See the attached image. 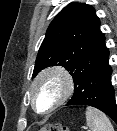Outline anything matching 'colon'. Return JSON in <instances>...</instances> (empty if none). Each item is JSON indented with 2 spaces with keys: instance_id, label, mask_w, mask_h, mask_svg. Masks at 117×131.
I'll use <instances>...</instances> for the list:
<instances>
[{
  "instance_id": "1",
  "label": "colon",
  "mask_w": 117,
  "mask_h": 131,
  "mask_svg": "<svg viewBox=\"0 0 117 131\" xmlns=\"http://www.w3.org/2000/svg\"><path fill=\"white\" fill-rule=\"evenodd\" d=\"M38 131H69V129L61 124H47Z\"/></svg>"
}]
</instances>
